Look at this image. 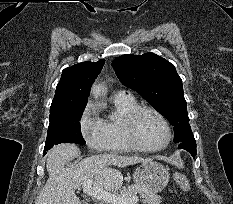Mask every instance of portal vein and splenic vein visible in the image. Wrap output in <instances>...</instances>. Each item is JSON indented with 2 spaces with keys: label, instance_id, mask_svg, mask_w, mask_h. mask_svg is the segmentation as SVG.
Returning <instances> with one entry per match:
<instances>
[{
  "label": "portal vein and splenic vein",
  "instance_id": "1",
  "mask_svg": "<svg viewBox=\"0 0 233 204\" xmlns=\"http://www.w3.org/2000/svg\"><path fill=\"white\" fill-rule=\"evenodd\" d=\"M92 185V180L85 181L83 183V192L107 204H137L138 202L137 196H133L132 198L120 197Z\"/></svg>",
  "mask_w": 233,
  "mask_h": 204
}]
</instances>
